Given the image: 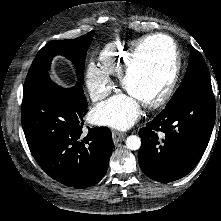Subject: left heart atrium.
<instances>
[{"instance_id":"1","label":"left heart atrium","mask_w":221,"mask_h":221,"mask_svg":"<svg viewBox=\"0 0 221 221\" xmlns=\"http://www.w3.org/2000/svg\"><path fill=\"white\" fill-rule=\"evenodd\" d=\"M95 114L99 122L125 130L137 120L140 108L132 96L118 95L99 105Z\"/></svg>"}]
</instances>
